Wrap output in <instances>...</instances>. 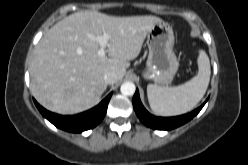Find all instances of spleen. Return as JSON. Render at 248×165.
I'll return each mask as SVG.
<instances>
[{
    "label": "spleen",
    "mask_w": 248,
    "mask_h": 165,
    "mask_svg": "<svg viewBox=\"0 0 248 165\" xmlns=\"http://www.w3.org/2000/svg\"><path fill=\"white\" fill-rule=\"evenodd\" d=\"M198 73L176 87L149 84L147 96L152 111L159 116H176L191 111L203 98L210 81V61L204 50L199 51Z\"/></svg>",
    "instance_id": "spleen-1"
}]
</instances>
